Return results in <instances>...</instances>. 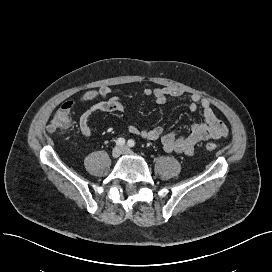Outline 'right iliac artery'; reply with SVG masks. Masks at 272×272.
<instances>
[{
	"instance_id": "right-iliac-artery-1",
	"label": "right iliac artery",
	"mask_w": 272,
	"mask_h": 272,
	"mask_svg": "<svg viewBox=\"0 0 272 272\" xmlns=\"http://www.w3.org/2000/svg\"><path fill=\"white\" fill-rule=\"evenodd\" d=\"M116 144L119 146H123L125 144V139L124 138H118L116 141Z\"/></svg>"
}]
</instances>
